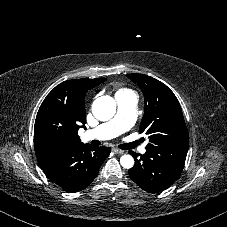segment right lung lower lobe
<instances>
[{
    "label": "right lung lower lobe",
    "mask_w": 227,
    "mask_h": 227,
    "mask_svg": "<svg viewBox=\"0 0 227 227\" xmlns=\"http://www.w3.org/2000/svg\"><path fill=\"white\" fill-rule=\"evenodd\" d=\"M110 152L108 147L81 144L40 166L51 181L74 193L86 188L96 178Z\"/></svg>",
    "instance_id": "right-lung-lower-lobe-1"
}]
</instances>
